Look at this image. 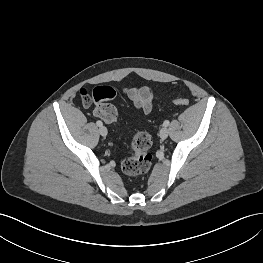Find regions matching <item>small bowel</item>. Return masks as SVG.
<instances>
[{"mask_svg": "<svg viewBox=\"0 0 263 263\" xmlns=\"http://www.w3.org/2000/svg\"><path fill=\"white\" fill-rule=\"evenodd\" d=\"M124 93L144 114H149L152 111L155 95L148 87H131L125 89Z\"/></svg>", "mask_w": 263, "mask_h": 263, "instance_id": "c3829d8e", "label": "small bowel"}]
</instances>
